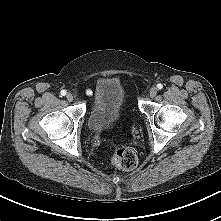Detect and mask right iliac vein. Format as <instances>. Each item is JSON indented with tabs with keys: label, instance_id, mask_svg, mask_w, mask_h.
<instances>
[{
	"label": "right iliac vein",
	"instance_id": "63e3f726",
	"mask_svg": "<svg viewBox=\"0 0 221 221\" xmlns=\"http://www.w3.org/2000/svg\"><path fill=\"white\" fill-rule=\"evenodd\" d=\"M66 99H67L68 101H72V100L74 99L73 94H72V93H67Z\"/></svg>",
	"mask_w": 221,
	"mask_h": 221
}]
</instances>
